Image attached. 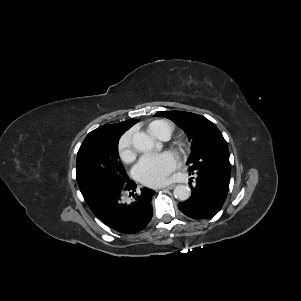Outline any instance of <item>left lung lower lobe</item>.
Returning <instances> with one entry per match:
<instances>
[{
	"label": "left lung lower lobe",
	"mask_w": 301,
	"mask_h": 301,
	"mask_svg": "<svg viewBox=\"0 0 301 301\" xmlns=\"http://www.w3.org/2000/svg\"><path fill=\"white\" fill-rule=\"evenodd\" d=\"M194 184L190 179L191 197L179 203V209L188 217L208 219L215 216L223 206L229 190L230 175L210 170L194 171Z\"/></svg>",
	"instance_id": "obj_1"
}]
</instances>
